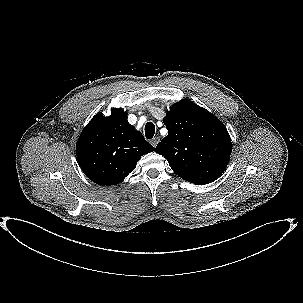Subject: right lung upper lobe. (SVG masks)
Here are the masks:
<instances>
[{
  "label": "right lung upper lobe",
  "mask_w": 303,
  "mask_h": 303,
  "mask_svg": "<svg viewBox=\"0 0 303 303\" xmlns=\"http://www.w3.org/2000/svg\"><path fill=\"white\" fill-rule=\"evenodd\" d=\"M154 151L127 121V113L114 108L111 116L98 113L82 131L76 153L82 171L99 185L121 183L142 155Z\"/></svg>",
  "instance_id": "right-lung-upper-lobe-1"
}]
</instances>
